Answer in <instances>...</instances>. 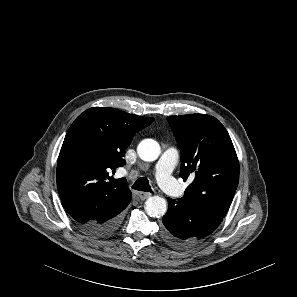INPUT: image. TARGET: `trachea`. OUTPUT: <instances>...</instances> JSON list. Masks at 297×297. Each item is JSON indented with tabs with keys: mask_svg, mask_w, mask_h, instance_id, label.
Instances as JSON below:
<instances>
[{
	"mask_svg": "<svg viewBox=\"0 0 297 297\" xmlns=\"http://www.w3.org/2000/svg\"><path fill=\"white\" fill-rule=\"evenodd\" d=\"M132 188L138 191L152 192L149 185V181L145 177L139 178L133 185Z\"/></svg>",
	"mask_w": 297,
	"mask_h": 297,
	"instance_id": "trachea-1",
	"label": "trachea"
}]
</instances>
